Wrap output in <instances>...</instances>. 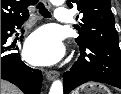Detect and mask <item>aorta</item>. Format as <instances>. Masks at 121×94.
<instances>
[{"mask_svg":"<svg viewBox=\"0 0 121 94\" xmlns=\"http://www.w3.org/2000/svg\"><path fill=\"white\" fill-rule=\"evenodd\" d=\"M51 2L55 5H62L65 0H51ZM49 94H63V84L60 80L53 82Z\"/></svg>","mask_w":121,"mask_h":94,"instance_id":"obj_1","label":"aorta"}]
</instances>
